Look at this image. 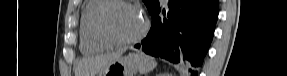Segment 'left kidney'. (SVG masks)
Wrapping results in <instances>:
<instances>
[{"label":"left kidney","mask_w":287,"mask_h":76,"mask_svg":"<svg viewBox=\"0 0 287 76\" xmlns=\"http://www.w3.org/2000/svg\"><path fill=\"white\" fill-rule=\"evenodd\" d=\"M159 76H169V75H168V74L163 73V74H160Z\"/></svg>","instance_id":"1"}]
</instances>
